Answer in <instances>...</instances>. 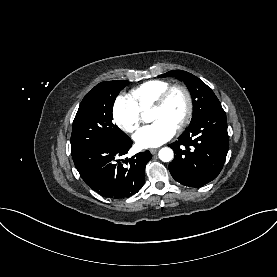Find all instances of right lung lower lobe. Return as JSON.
<instances>
[{
    "mask_svg": "<svg viewBox=\"0 0 277 277\" xmlns=\"http://www.w3.org/2000/svg\"><path fill=\"white\" fill-rule=\"evenodd\" d=\"M131 145L129 137L122 142H98L72 154V157L81 178L92 190L104 197L121 199L142 188L145 166L152 158L147 150L129 159H120Z\"/></svg>",
    "mask_w": 277,
    "mask_h": 277,
    "instance_id": "obj_1",
    "label": "right lung lower lobe"
}]
</instances>
